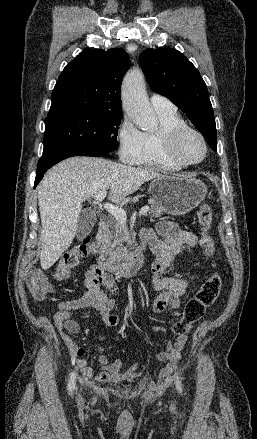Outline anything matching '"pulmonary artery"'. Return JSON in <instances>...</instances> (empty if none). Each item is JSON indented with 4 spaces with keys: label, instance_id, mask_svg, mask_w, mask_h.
I'll list each match as a JSON object with an SVG mask.
<instances>
[{
    "label": "pulmonary artery",
    "instance_id": "obj_1",
    "mask_svg": "<svg viewBox=\"0 0 257 439\" xmlns=\"http://www.w3.org/2000/svg\"><path fill=\"white\" fill-rule=\"evenodd\" d=\"M150 101L153 108L158 112L161 111L169 112L176 110L175 105L169 99H167L162 95L153 94L150 98Z\"/></svg>",
    "mask_w": 257,
    "mask_h": 439
}]
</instances>
